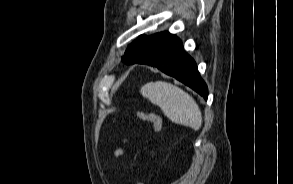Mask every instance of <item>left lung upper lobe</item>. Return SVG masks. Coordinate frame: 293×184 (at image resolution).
<instances>
[{
    "label": "left lung upper lobe",
    "instance_id": "obj_1",
    "mask_svg": "<svg viewBox=\"0 0 293 184\" xmlns=\"http://www.w3.org/2000/svg\"><path fill=\"white\" fill-rule=\"evenodd\" d=\"M157 34H154L152 36L141 35L137 40H135L128 46L124 56L122 57V61L126 64H133L139 63L140 61L149 58L146 44L152 37Z\"/></svg>",
    "mask_w": 293,
    "mask_h": 184
}]
</instances>
